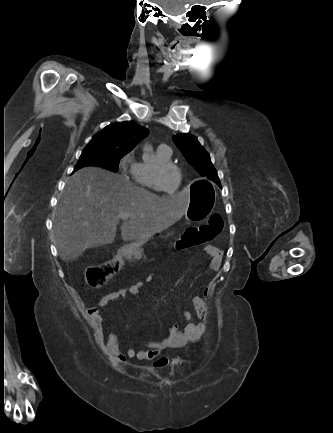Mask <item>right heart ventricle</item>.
Here are the masks:
<instances>
[{
	"mask_svg": "<svg viewBox=\"0 0 333 433\" xmlns=\"http://www.w3.org/2000/svg\"><path fill=\"white\" fill-rule=\"evenodd\" d=\"M171 155L167 154L163 151L157 149L156 151V159L152 164H148L145 162L138 163L137 171L135 174V182L151 191L160 192V189L156 186L153 179V171L154 167L159 163H167L170 162Z\"/></svg>",
	"mask_w": 333,
	"mask_h": 433,
	"instance_id": "e07e8e85",
	"label": "right heart ventricle"
}]
</instances>
